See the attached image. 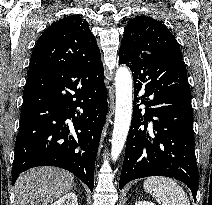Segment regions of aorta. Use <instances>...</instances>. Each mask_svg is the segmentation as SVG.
I'll return each mask as SVG.
<instances>
[{
    "instance_id": "obj_1",
    "label": "aorta",
    "mask_w": 212,
    "mask_h": 205,
    "mask_svg": "<svg viewBox=\"0 0 212 205\" xmlns=\"http://www.w3.org/2000/svg\"><path fill=\"white\" fill-rule=\"evenodd\" d=\"M116 110L111 140V158L116 161L125 145L132 119V75L120 67L115 75Z\"/></svg>"
}]
</instances>
